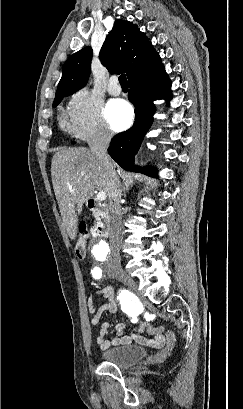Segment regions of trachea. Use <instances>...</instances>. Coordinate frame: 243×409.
Listing matches in <instances>:
<instances>
[{
	"instance_id": "trachea-1",
	"label": "trachea",
	"mask_w": 243,
	"mask_h": 409,
	"mask_svg": "<svg viewBox=\"0 0 243 409\" xmlns=\"http://www.w3.org/2000/svg\"><path fill=\"white\" fill-rule=\"evenodd\" d=\"M119 83H120V85H121L122 87H127V86H128L127 78H126V75H125V74H121V75L119 76Z\"/></svg>"
}]
</instances>
